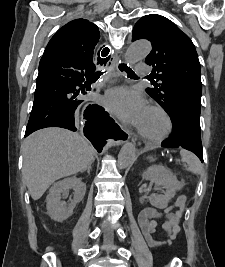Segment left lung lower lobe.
Returning a JSON list of instances; mask_svg holds the SVG:
<instances>
[{"mask_svg":"<svg viewBox=\"0 0 225 267\" xmlns=\"http://www.w3.org/2000/svg\"><path fill=\"white\" fill-rule=\"evenodd\" d=\"M201 102L190 98L179 107L173 119V131L162 147H182L196 154L203 161L200 128Z\"/></svg>","mask_w":225,"mask_h":267,"instance_id":"1","label":"left lung lower lobe"}]
</instances>
